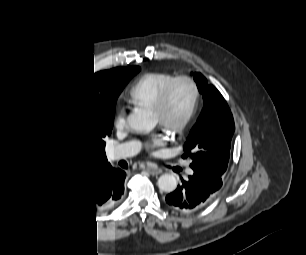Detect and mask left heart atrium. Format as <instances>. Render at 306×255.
Masks as SVG:
<instances>
[{
	"mask_svg": "<svg viewBox=\"0 0 306 255\" xmlns=\"http://www.w3.org/2000/svg\"><path fill=\"white\" fill-rule=\"evenodd\" d=\"M163 143V139L160 136H154L150 140V145L155 146V145H161Z\"/></svg>",
	"mask_w": 306,
	"mask_h": 255,
	"instance_id": "1",
	"label": "left heart atrium"
}]
</instances>
